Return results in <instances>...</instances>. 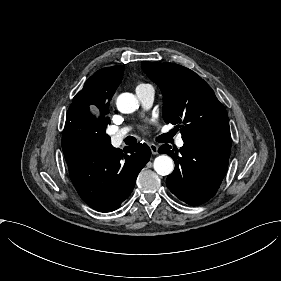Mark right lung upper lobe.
Here are the masks:
<instances>
[{
	"label": "right lung upper lobe",
	"instance_id": "right-lung-upper-lobe-1",
	"mask_svg": "<svg viewBox=\"0 0 281 281\" xmlns=\"http://www.w3.org/2000/svg\"><path fill=\"white\" fill-rule=\"evenodd\" d=\"M124 65L103 68L95 72L73 98L66 115L65 127L103 129L109 124V102L121 83ZM73 123L78 124L74 126Z\"/></svg>",
	"mask_w": 281,
	"mask_h": 281
}]
</instances>
